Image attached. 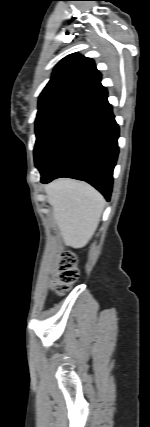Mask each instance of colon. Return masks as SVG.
I'll return each mask as SVG.
<instances>
[{
	"label": "colon",
	"mask_w": 150,
	"mask_h": 427,
	"mask_svg": "<svg viewBox=\"0 0 150 427\" xmlns=\"http://www.w3.org/2000/svg\"><path fill=\"white\" fill-rule=\"evenodd\" d=\"M79 276L76 257L72 253L62 256L58 274L53 281L52 288L59 294H65L76 282Z\"/></svg>",
	"instance_id": "obj_1"
}]
</instances>
